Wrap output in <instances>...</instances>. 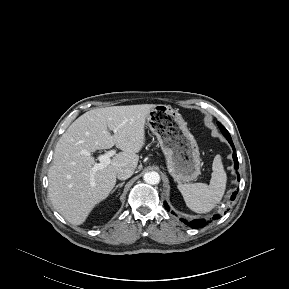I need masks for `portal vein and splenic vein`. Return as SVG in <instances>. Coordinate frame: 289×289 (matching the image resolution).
Returning a JSON list of instances; mask_svg holds the SVG:
<instances>
[{"mask_svg":"<svg viewBox=\"0 0 289 289\" xmlns=\"http://www.w3.org/2000/svg\"><path fill=\"white\" fill-rule=\"evenodd\" d=\"M81 154L90 156V152L87 150H82ZM116 154V150H110L103 155L98 156L99 163H96L92 168V173L94 174L96 171L105 168L111 163V157Z\"/></svg>","mask_w":289,"mask_h":289,"instance_id":"portal-vein-and-splenic-vein-1","label":"portal vein and splenic vein"}]
</instances>
